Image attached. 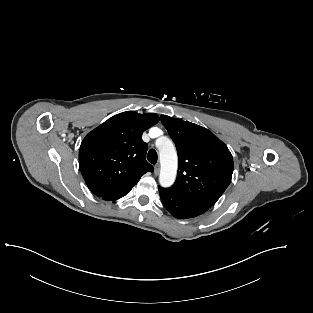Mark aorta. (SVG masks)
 <instances>
[{"mask_svg": "<svg viewBox=\"0 0 313 313\" xmlns=\"http://www.w3.org/2000/svg\"><path fill=\"white\" fill-rule=\"evenodd\" d=\"M159 157L161 164L159 183L162 187H170L176 179L178 157L173 143L168 138H164L163 145L159 147Z\"/></svg>", "mask_w": 313, "mask_h": 313, "instance_id": "762f6f07", "label": "aorta"}]
</instances>
